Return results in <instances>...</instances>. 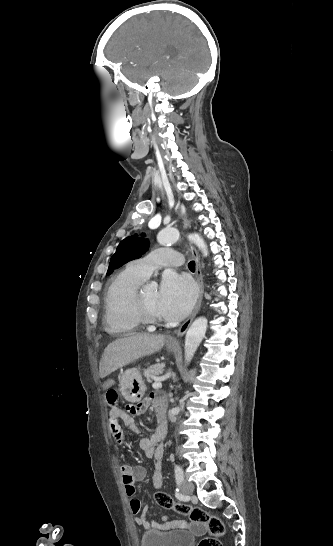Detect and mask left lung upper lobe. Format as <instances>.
Returning a JSON list of instances; mask_svg holds the SVG:
<instances>
[{
  "mask_svg": "<svg viewBox=\"0 0 333 546\" xmlns=\"http://www.w3.org/2000/svg\"><path fill=\"white\" fill-rule=\"evenodd\" d=\"M149 241L144 238H137L136 235L129 236L118 245L115 254L112 255L107 275L111 274L125 263L140 258L148 250Z\"/></svg>",
  "mask_w": 333,
  "mask_h": 546,
  "instance_id": "5c2ea615",
  "label": "left lung upper lobe"
}]
</instances>
